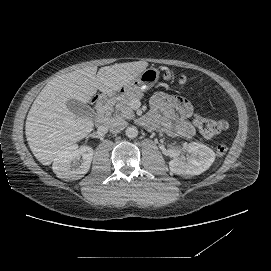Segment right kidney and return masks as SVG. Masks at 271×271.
Masks as SVG:
<instances>
[{"label":"right kidney","instance_id":"ca27d5eb","mask_svg":"<svg viewBox=\"0 0 271 271\" xmlns=\"http://www.w3.org/2000/svg\"><path fill=\"white\" fill-rule=\"evenodd\" d=\"M92 156L91 147L79 148L78 143L67 145L54 158L52 170L60 179H80L90 168Z\"/></svg>","mask_w":271,"mask_h":271}]
</instances>
